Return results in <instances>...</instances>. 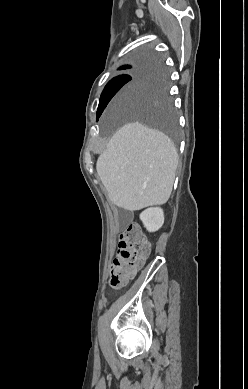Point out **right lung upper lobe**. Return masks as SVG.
Listing matches in <instances>:
<instances>
[{"instance_id": "cb5924a9", "label": "right lung upper lobe", "mask_w": 248, "mask_h": 389, "mask_svg": "<svg viewBox=\"0 0 248 389\" xmlns=\"http://www.w3.org/2000/svg\"><path fill=\"white\" fill-rule=\"evenodd\" d=\"M152 59H157L156 57H151ZM125 67H128V66H123V67H121L120 69H122V68H125Z\"/></svg>"}]
</instances>
